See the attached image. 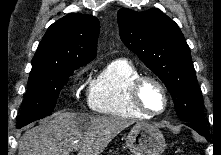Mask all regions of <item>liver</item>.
Masks as SVG:
<instances>
[{
  "label": "liver",
  "instance_id": "liver-1",
  "mask_svg": "<svg viewBox=\"0 0 221 155\" xmlns=\"http://www.w3.org/2000/svg\"><path fill=\"white\" fill-rule=\"evenodd\" d=\"M134 121L120 117L61 112L27 130L20 138L18 155H100L111 140Z\"/></svg>",
  "mask_w": 221,
  "mask_h": 155
}]
</instances>
